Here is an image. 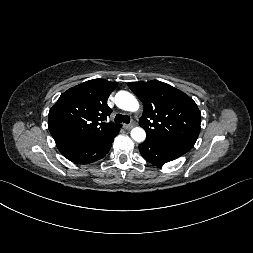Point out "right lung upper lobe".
Here are the masks:
<instances>
[{
    "mask_svg": "<svg viewBox=\"0 0 253 253\" xmlns=\"http://www.w3.org/2000/svg\"><path fill=\"white\" fill-rule=\"evenodd\" d=\"M117 87L105 79H93L64 92L50 109L48 128L61 153L93 141L121 127L105 120L112 110L107 99Z\"/></svg>",
    "mask_w": 253,
    "mask_h": 253,
    "instance_id": "right-lung-upper-lobe-1",
    "label": "right lung upper lobe"
}]
</instances>
